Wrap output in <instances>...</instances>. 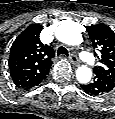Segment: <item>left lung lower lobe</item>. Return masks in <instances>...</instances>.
<instances>
[{
    "instance_id": "1",
    "label": "left lung lower lobe",
    "mask_w": 115,
    "mask_h": 119,
    "mask_svg": "<svg viewBox=\"0 0 115 119\" xmlns=\"http://www.w3.org/2000/svg\"><path fill=\"white\" fill-rule=\"evenodd\" d=\"M83 91L89 95H105L113 90L115 82L108 77L95 73L94 80L86 85H81Z\"/></svg>"
}]
</instances>
